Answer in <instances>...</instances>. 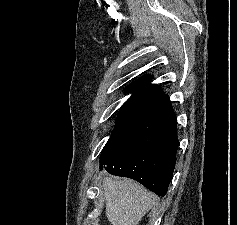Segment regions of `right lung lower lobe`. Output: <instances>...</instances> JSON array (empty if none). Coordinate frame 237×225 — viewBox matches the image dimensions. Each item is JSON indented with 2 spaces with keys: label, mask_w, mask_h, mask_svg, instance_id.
Masks as SVG:
<instances>
[{
  "label": "right lung lower lobe",
  "mask_w": 237,
  "mask_h": 225,
  "mask_svg": "<svg viewBox=\"0 0 237 225\" xmlns=\"http://www.w3.org/2000/svg\"><path fill=\"white\" fill-rule=\"evenodd\" d=\"M176 116L167 101L118 127L102 150L100 170L132 178L164 196L175 168Z\"/></svg>",
  "instance_id": "right-lung-lower-lobe-1"
}]
</instances>
